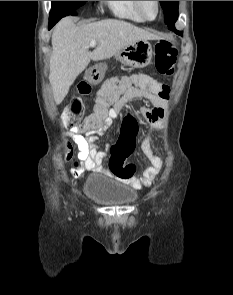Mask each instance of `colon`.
Returning <instances> with one entry per match:
<instances>
[{
	"mask_svg": "<svg viewBox=\"0 0 233 295\" xmlns=\"http://www.w3.org/2000/svg\"><path fill=\"white\" fill-rule=\"evenodd\" d=\"M176 56L177 48L174 42L167 39L159 40L154 46V65L157 71L163 75L172 74ZM77 89L80 96H88L91 92V87L86 82L78 83ZM140 92L153 93L166 99L170 96V88L167 85L147 75L111 79L103 84L98 93L93 112L85 118L82 127L86 131L98 128L107 116L108 107L111 103L123 95H134ZM84 111L85 107L81 97L72 98L63 113L65 122L70 125L78 123L82 120ZM137 134L136 120L131 116L125 117L120 139L112 148L109 161V170L116 177L130 179L134 176L135 166L126 164L125 160L134 150Z\"/></svg>",
	"mask_w": 233,
	"mask_h": 295,
	"instance_id": "colon-1",
	"label": "colon"
}]
</instances>
